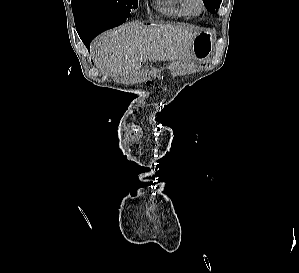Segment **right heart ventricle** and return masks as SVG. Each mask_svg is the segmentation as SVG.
I'll return each instance as SVG.
<instances>
[{"instance_id":"obj_1","label":"right heart ventricle","mask_w":299,"mask_h":273,"mask_svg":"<svg viewBox=\"0 0 299 273\" xmlns=\"http://www.w3.org/2000/svg\"><path fill=\"white\" fill-rule=\"evenodd\" d=\"M161 9L172 16H189V12L185 0H167Z\"/></svg>"}]
</instances>
